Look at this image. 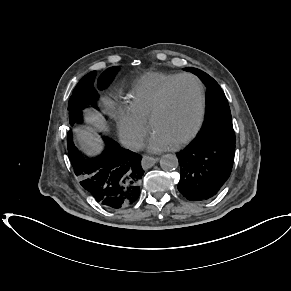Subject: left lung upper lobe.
<instances>
[{
    "label": "left lung upper lobe",
    "instance_id": "left-lung-upper-lobe-1",
    "mask_svg": "<svg viewBox=\"0 0 291 291\" xmlns=\"http://www.w3.org/2000/svg\"><path fill=\"white\" fill-rule=\"evenodd\" d=\"M185 70L197 75L208 88L206 117L197 137L235 144L231 112L221 87L211 76L199 69L189 67Z\"/></svg>",
    "mask_w": 291,
    "mask_h": 291
}]
</instances>
